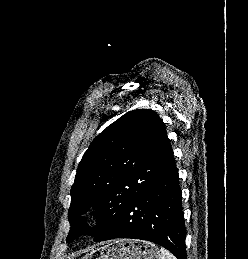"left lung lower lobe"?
Instances as JSON below:
<instances>
[{
    "instance_id": "obj_1",
    "label": "left lung lower lobe",
    "mask_w": 248,
    "mask_h": 259,
    "mask_svg": "<svg viewBox=\"0 0 248 259\" xmlns=\"http://www.w3.org/2000/svg\"><path fill=\"white\" fill-rule=\"evenodd\" d=\"M181 202L178 170L173 162L147 191L97 234L94 241L114 238L147 240L165 247L178 259H187Z\"/></svg>"
}]
</instances>
